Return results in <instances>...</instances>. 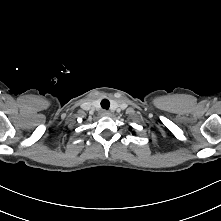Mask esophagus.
Masks as SVG:
<instances>
[{"label": "esophagus", "mask_w": 221, "mask_h": 221, "mask_svg": "<svg viewBox=\"0 0 221 221\" xmlns=\"http://www.w3.org/2000/svg\"><path fill=\"white\" fill-rule=\"evenodd\" d=\"M101 114L103 116H109L110 115L109 111H107V110H103Z\"/></svg>", "instance_id": "1"}]
</instances>
